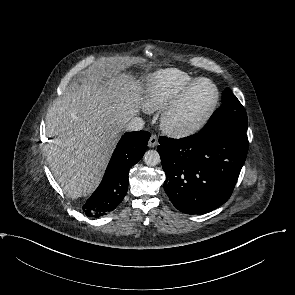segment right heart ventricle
Instances as JSON below:
<instances>
[{"instance_id": "right-heart-ventricle-1", "label": "right heart ventricle", "mask_w": 295, "mask_h": 295, "mask_svg": "<svg viewBox=\"0 0 295 295\" xmlns=\"http://www.w3.org/2000/svg\"><path fill=\"white\" fill-rule=\"evenodd\" d=\"M195 77L177 69L152 74L146 80L144 104L151 111L167 107Z\"/></svg>"}]
</instances>
